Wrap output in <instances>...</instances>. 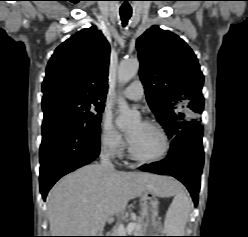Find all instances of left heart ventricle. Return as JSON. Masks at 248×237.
I'll list each match as a JSON object with an SVG mask.
<instances>
[{"label": "left heart ventricle", "mask_w": 248, "mask_h": 237, "mask_svg": "<svg viewBox=\"0 0 248 237\" xmlns=\"http://www.w3.org/2000/svg\"><path fill=\"white\" fill-rule=\"evenodd\" d=\"M131 131H135V135L130 143L139 155L153 157L162 151L163 140L154 128L136 121L129 127L128 132Z\"/></svg>", "instance_id": "obj_1"}]
</instances>
